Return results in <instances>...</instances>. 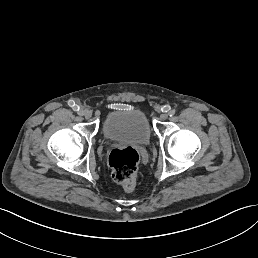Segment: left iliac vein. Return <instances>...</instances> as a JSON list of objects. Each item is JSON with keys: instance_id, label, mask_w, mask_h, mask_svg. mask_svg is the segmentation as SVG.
Here are the masks:
<instances>
[{"instance_id": "1", "label": "left iliac vein", "mask_w": 258, "mask_h": 258, "mask_svg": "<svg viewBox=\"0 0 258 258\" xmlns=\"http://www.w3.org/2000/svg\"><path fill=\"white\" fill-rule=\"evenodd\" d=\"M160 119L166 121L168 119V116L166 114H163L160 116Z\"/></svg>"}]
</instances>
